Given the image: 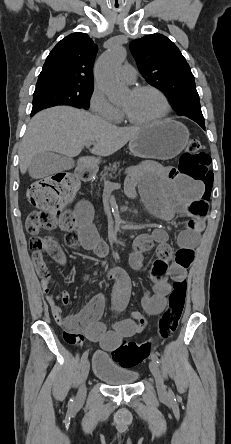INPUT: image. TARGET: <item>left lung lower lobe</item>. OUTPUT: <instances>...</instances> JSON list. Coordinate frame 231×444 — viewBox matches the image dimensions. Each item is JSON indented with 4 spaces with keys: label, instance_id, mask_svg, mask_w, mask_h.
Returning a JSON list of instances; mask_svg holds the SVG:
<instances>
[{
    "label": "left lung lower lobe",
    "instance_id": "obj_1",
    "mask_svg": "<svg viewBox=\"0 0 231 444\" xmlns=\"http://www.w3.org/2000/svg\"><path fill=\"white\" fill-rule=\"evenodd\" d=\"M197 122L203 129H205L204 121H195Z\"/></svg>",
    "mask_w": 231,
    "mask_h": 444
}]
</instances>
